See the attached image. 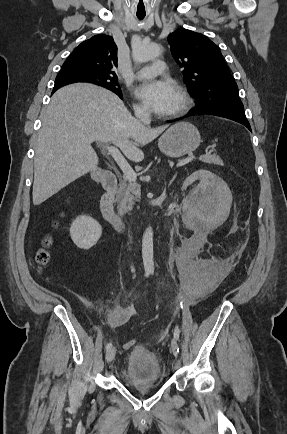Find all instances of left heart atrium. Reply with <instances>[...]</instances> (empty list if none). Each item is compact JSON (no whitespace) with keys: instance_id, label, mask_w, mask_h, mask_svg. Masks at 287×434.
<instances>
[{"instance_id":"left-heart-atrium-1","label":"left heart atrium","mask_w":287,"mask_h":434,"mask_svg":"<svg viewBox=\"0 0 287 434\" xmlns=\"http://www.w3.org/2000/svg\"><path fill=\"white\" fill-rule=\"evenodd\" d=\"M136 93L154 112L159 114L170 113L178 96V90L173 83L159 80L141 84Z\"/></svg>"}]
</instances>
